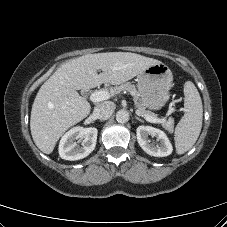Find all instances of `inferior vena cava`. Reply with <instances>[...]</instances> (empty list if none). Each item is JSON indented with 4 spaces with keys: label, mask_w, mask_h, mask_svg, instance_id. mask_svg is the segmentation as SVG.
<instances>
[{
    "label": "inferior vena cava",
    "mask_w": 227,
    "mask_h": 227,
    "mask_svg": "<svg viewBox=\"0 0 227 227\" xmlns=\"http://www.w3.org/2000/svg\"><path fill=\"white\" fill-rule=\"evenodd\" d=\"M114 109L112 102H103L94 108V114L98 119L106 120L113 114Z\"/></svg>",
    "instance_id": "obj_1"
}]
</instances>
